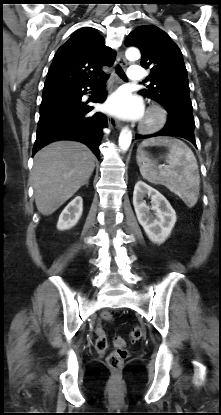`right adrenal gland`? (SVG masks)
<instances>
[{"instance_id": "right-adrenal-gland-1", "label": "right adrenal gland", "mask_w": 221, "mask_h": 415, "mask_svg": "<svg viewBox=\"0 0 221 415\" xmlns=\"http://www.w3.org/2000/svg\"><path fill=\"white\" fill-rule=\"evenodd\" d=\"M86 185H88V180H87V182H86Z\"/></svg>"}]
</instances>
